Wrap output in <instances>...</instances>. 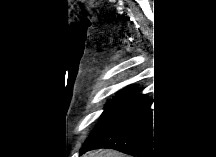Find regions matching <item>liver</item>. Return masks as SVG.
I'll use <instances>...</instances> for the list:
<instances>
[{
    "mask_svg": "<svg viewBox=\"0 0 216 157\" xmlns=\"http://www.w3.org/2000/svg\"><path fill=\"white\" fill-rule=\"evenodd\" d=\"M86 157H125V155L114 150H97L88 153Z\"/></svg>",
    "mask_w": 216,
    "mask_h": 157,
    "instance_id": "obj_1",
    "label": "liver"
}]
</instances>
